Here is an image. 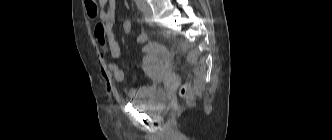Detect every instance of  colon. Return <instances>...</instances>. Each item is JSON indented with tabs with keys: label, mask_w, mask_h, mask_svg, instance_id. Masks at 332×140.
<instances>
[{
	"label": "colon",
	"mask_w": 332,
	"mask_h": 140,
	"mask_svg": "<svg viewBox=\"0 0 332 140\" xmlns=\"http://www.w3.org/2000/svg\"><path fill=\"white\" fill-rule=\"evenodd\" d=\"M86 6L88 8V11L94 15L96 14V4L94 3L93 0H86ZM132 29H133V25H132V22L130 20H124L122 23H121V31L122 33L124 34H130L132 32ZM187 92H188V87L187 85H182L180 87V90H179V93L181 96H186L187 95Z\"/></svg>",
	"instance_id": "5ec220e1"
}]
</instances>
